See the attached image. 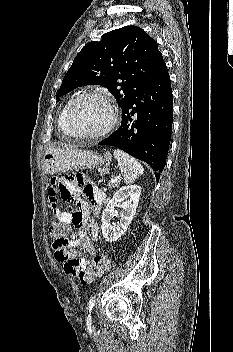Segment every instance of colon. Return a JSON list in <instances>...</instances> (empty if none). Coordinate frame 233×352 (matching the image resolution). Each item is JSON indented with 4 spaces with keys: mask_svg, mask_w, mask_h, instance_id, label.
Returning a JSON list of instances; mask_svg holds the SVG:
<instances>
[{
    "mask_svg": "<svg viewBox=\"0 0 233 352\" xmlns=\"http://www.w3.org/2000/svg\"><path fill=\"white\" fill-rule=\"evenodd\" d=\"M48 231L62 247L66 246L68 227L58 221H53L49 224ZM111 267V260L108 253L104 249H100L99 253L88 262L86 267L79 271L78 278L82 285L91 284L96 278L103 275Z\"/></svg>",
    "mask_w": 233,
    "mask_h": 352,
    "instance_id": "colon-1",
    "label": "colon"
}]
</instances>
